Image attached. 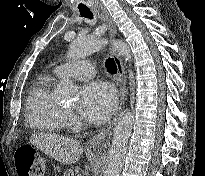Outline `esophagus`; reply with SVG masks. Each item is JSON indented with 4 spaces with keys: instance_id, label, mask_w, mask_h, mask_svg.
<instances>
[{
    "instance_id": "1",
    "label": "esophagus",
    "mask_w": 205,
    "mask_h": 176,
    "mask_svg": "<svg viewBox=\"0 0 205 176\" xmlns=\"http://www.w3.org/2000/svg\"><path fill=\"white\" fill-rule=\"evenodd\" d=\"M93 11L97 17H99L101 20L105 21L108 24V34L110 37H114L117 34V29L114 22L110 20L109 14L106 9L103 6H98L95 7ZM111 54L114 57L115 64L117 66L116 84L118 87L119 103L112 120L98 134H96L88 141L87 146L89 148L101 147L106 144L107 137L111 133L112 127L122 109V105L128 93L126 88L127 76L122 60L113 47L111 48Z\"/></svg>"
}]
</instances>
